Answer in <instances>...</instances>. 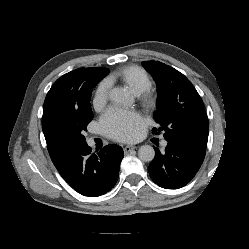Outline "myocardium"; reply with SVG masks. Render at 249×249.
I'll return each instance as SVG.
<instances>
[{"label":"myocardium","mask_w":249,"mask_h":249,"mask_svg":"<svg viewBox=\"0 0 249 249\" xmlns=\"http://www.w3.org/2000/svg\"><path fill=\"white\" fill-rule=\"evenodd\" d=\"M139 96H140L141 107L145 111H150L155 107V105H156V96L154 95L153 92H151L150 90H146L145 92H143Z\"/></svg>","instance_id":"f54148a6"}]
</instances>
